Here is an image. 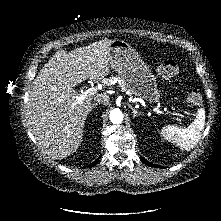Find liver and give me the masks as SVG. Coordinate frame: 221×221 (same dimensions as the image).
Returning a JSON list of instances; mask_svg holds the SVG:
<instances>
[{
    "instance_id": "1",
    "label": "liver",
    "mask_w": 221,
    "mask_h": 221,
    "mask_svg": "<svg viewBox=\"0 0 221 221\" xmlns=\"http://www.w3.org/2000/svg\"><path fill=\"white\" fill-rule=\"evenodd\" d=\"M111 43L105 39L69 53L58 50L34 79L27 107L29 124L37 143L52 159L66 158L80 146L92 96L78 103L74 87L87 79H105Z\"/></svg>"
}]
</instances>
